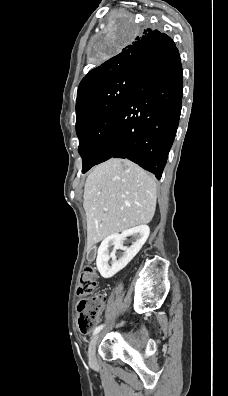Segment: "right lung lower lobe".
Segmentation results:
<instances>
[{"mask_svg":"<svg viewBox=\"0 0 228 396\" xmlns=\"http://www.w3.org/2000/svg\"><path fill=\"white\" fill-rule=\"evenodd\" d=\"M182 66L170 38L141 63L96 164L127 158L162 176L179 123Z\"/></svg>","mask_w":228,"mask_h":396,"instance_id":"right-lung-lower-lobe-1","label":"right lung lower lobe"}]
</instances>
